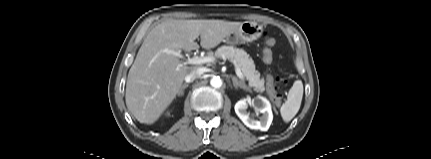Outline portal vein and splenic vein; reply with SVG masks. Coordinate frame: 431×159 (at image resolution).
I'll return each mask as SVG.
<instances>
[{
	"label": "portal vein and splenic vein",
	"mask_w": 431,
	"mask_h": 159,
	"mask_svg": "<svg viewBox=\"0 0 431 159\" xmlns=\"http://www.w3.org/2000/svg\"><path fill=\"white\" fill-rule=\"evenodd\" d=\"M166 53L171 54V55H174V56L179 57V58H181V59H184V56L181 54V52H180V51H175V50H166ZM214 60H215V58H214V57H210V56H206V57H198V56H194V57H192V58H188V59L186 60V62H184V63H185V64H194V65H197V64H204V63H208V62H213ZM232 63H233V65H234V67H235L236 75H237L241 80H244V75H243V73L241 72V69L239 68V66L237 65V63H236L234 60H232Z\"/></svg>",
	"instance_id": "18ae733b"
}]
</instances>
